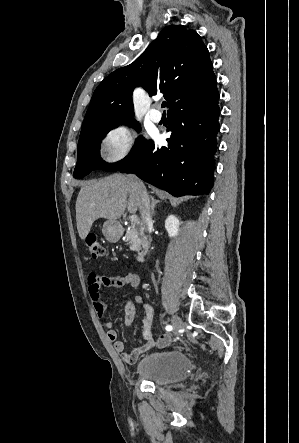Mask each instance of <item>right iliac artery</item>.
Returning a JSON list of instances; mask_svg holds the SVG:
<instances>
[{
    "mask_svg": "<svg viewBox=\"0 0 299 443\" xmlns=\"http://www.w3.org/2000/svg\"><path fill=\"white\" fill-rule=\"evenodd\" d=\"M172 329H173V328H172L171 325H167V326H166V330H167V331H171Z\"/></svg>",
    "mask_w": 299,
    "mask_h": 443,
    "instance_id": "obj_1",
    "label": "right iliac artery"
}]
</instances>
